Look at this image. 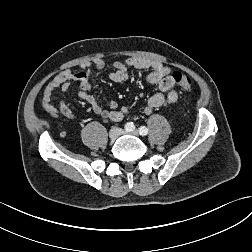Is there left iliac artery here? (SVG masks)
Returning <instances> with one entry per match:
<instances>
[{"mask_svg":"<svg viewBox=\"0 0 252 252\" xmlns=\"http://www.w3.org/2000/svg\"><path fill=\"white\" fill-rule=\"evenodd\" d=\"M139 132H140V135L145 136V135L148 134V129H147L145 126H141V127L139 128Z\"/></svg>","mask_w":252,"mask_h":252,"instance_id":"left-iliac-artery-1","label":"left iliac artery"}]
</instances>
